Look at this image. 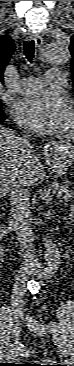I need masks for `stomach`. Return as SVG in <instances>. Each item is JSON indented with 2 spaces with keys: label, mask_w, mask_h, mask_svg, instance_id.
<instances>
[{
  "label": "stomach",
  "mask_w": 74,
  "mask_h": 366,
  "mask_svg": "<svg viewBox=\"0 0 74 366\" xmlns=\"http://www.w3.org/2000/svg\"><path fill=\"white\" fill-rule=\"evenodd\" d=\"M48 157H52L55 161H57V164H63L68 162V156L67 153L64 152V150L55 149L50 154H48Z\"/></svg>",
  "instance_id": "1"
}]
</instances>
